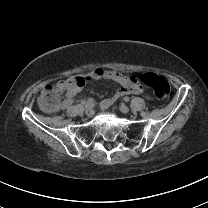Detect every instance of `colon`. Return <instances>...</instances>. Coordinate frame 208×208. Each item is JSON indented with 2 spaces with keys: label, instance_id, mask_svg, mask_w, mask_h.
Segmentation results:
<instances>
[{
  "label": "colon",
  "instance_id": "5ec220e1",
  "mask_svg": "<svg viewBox=\"0 0 208 208\" xmlns=\"http://www.w3.org/2000/svg\"><path fill=\"white\" fill-rule=\"evenodd\" d=\"M139 79L153 91L157 99L163 100L168 97L170 85L165 78L152 72H145ZM73 90L74 83L70 79H63L57 86H51L42 93L38 98V105L46 111H58L63 106L61 98L68 97Z\"/></svg>",
  "mask_w": 208,
  "mask_h": 208
}]
</instances>
